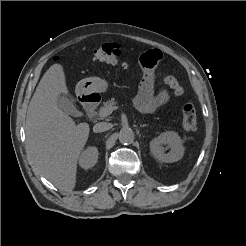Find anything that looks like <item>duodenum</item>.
Wrapping results in <instances>:
<instances>
[{
    "instance_id": "1",
    "label": "duodenum",
    "mask_w": 246,
    "mask_h": 246,
    "mask_svg": "<svg viewBox=\"0 0 246 246\" xmlns=\"http://www.w3.org/2000/svg\"><path fill=\"white\" fill-rule=\"evenodd\" d=\"M82 101L86 113L88 115H92L96 108L97 102L99 101V97L97 94H88L82 97Z\"/></svg>"
}]
</instances>
